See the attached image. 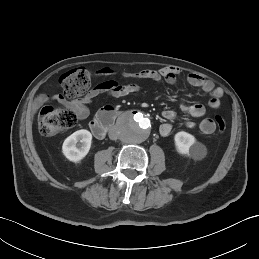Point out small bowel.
Segmentation results:
<instances>
[{
    "label": "small bowel",
    "instance_id": "c3829d8e",
    "mask_svg": "<svg viewBox=\"0 0 259 259\" xmlns=\"http://www.w3.org/2000/svg\"><path fill=\"white\" fill-rule=\"evenodd\" d=\"M98 73L102 77H107L117 74L118 71L111 67H104L101 68ZM180 73V68L176 66H168L159 70L146 69L138 72H120V74L125 78L134 80H150L155 82L164 81L169 85H174L177 82V77ZM187 82L194 87L201 88L210 95L208 104L212 109H219L221 107V97L223 96L222 88L216 87L210 80L196 74H189L187 76ZM138 88V85L135 83L121 84L115 79H107L98 83L80 98L68 100L60 94H42L37 97L34 105L35 107H38L44 103L55 101L74 111L79 119H85L90 113L88 105L95 100L105 96L121 98L136 92ZM179 108L184 114L195 118L202 117L206 113V108L203 104H189L185 99L180 102ZM162 117L167 121V123L160 126L159 132L162 136H167L172 131V125L170 122L176 119L177 114L171 109H166L162 112ZM186 126L194 128L195 123L187 121ZM199 129L206 135L213 134L216 130L215 122L210 118H205L200 122Z\"/></svg>",
    "mask_w": 259,
    "mask_h": 259
}]
</instances>
